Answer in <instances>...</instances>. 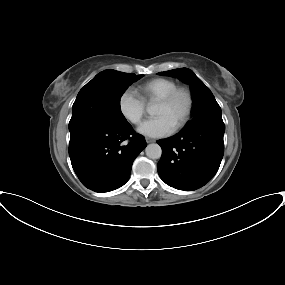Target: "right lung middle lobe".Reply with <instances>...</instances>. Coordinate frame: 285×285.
<instances>
[{
	"instance_id": "right-lung-middle-lobe-1",
	"label": "right lung middle lobe",
	"mask_w": 285,
	"mask_h": 285,
	"mask_svg": "<svg viewBox=\"0 0 285 285\" xmlns=\"http://www.w3.org/2000/svg\"><path fill=\"white\" fill-rule=\"evenodd\" d=\"M142 76L115 70L97 74L78 93L69 130L88 121H99L115 127L128 124L121 113L120 98L128 86Z\"/></svg>"
}]
</instances>
